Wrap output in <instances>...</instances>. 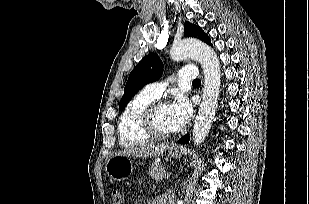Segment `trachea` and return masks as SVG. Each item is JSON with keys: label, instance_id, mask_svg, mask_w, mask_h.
Returning a JSON list of instances; mask_svg holds the SVG:
<instances>
[{"label": "trachea", "instance_id": "trachea-1", "mask_svg": "<svg viewBox=\"0 0 309 204\" xmlns=\"http://www.w3.org/2000/svg\"><path fill=\"white\" fill-rule=\"evenodd\" d=\"M192 83L193 84H201V80L200 79H195Z\"/></svg>", "mask_w": 309, "mask_h": 204}]
</instances>
